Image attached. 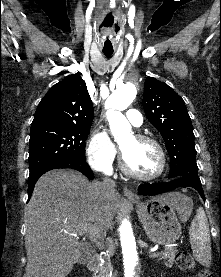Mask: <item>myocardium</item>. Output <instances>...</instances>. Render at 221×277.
<instances>
[{"mask_svg": "<svg viewBox=\"0 0 221 277\" xmlns=\"http://www.w3.org/2000/svg\"><path fill=\"white\" fill-rule=\"evenodd\" d=\"M134 138L138 142L151 143L157 148L159 155H160L159 169L157 170L156 173H154L152 175H148V176L138 174V173L134 172L128 166L126 159L124 157V154H123L122 150H120L119 165H120L122 172L131 178L141 180V181H153V180L159 178L164 173L166 164H167L166 152H165L163 146L157 139H155L154 137L148 136V135L136 134V135H134Z\"/></svg>", "mask_w": 221, "mask_h": 277, "instance_id": "obj_1", "label": "myocardium"}]
</instances>
